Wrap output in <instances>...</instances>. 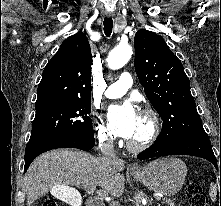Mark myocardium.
<instances>
[{
  "label": "myocardium",
  "instance_id": "1",
  "mask_svg": "<svg viewBox=\"0 0 221 206\" xmlns=\"http://www.w3.org/2000/svg\"><path fill=\"white\" fill-rule=\"evenodd\" d=\"M140 116L146 120L148 124V131L142 140L137 142L129 140L127 142V147L131 151H143L148 148L154 143L160 132V119L153 108L148 106L144 107L140 112Z\"/></svg>",
  "mask_w": 221,
  "mask_h": 206
}]
</instances>
